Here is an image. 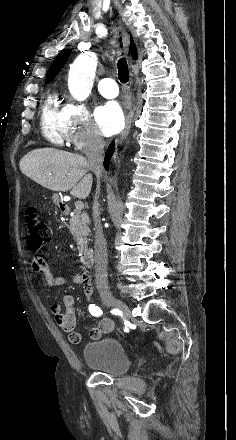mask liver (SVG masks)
<instances>
[{
	"label": "liver",
	"instance_id": "obj_1",
	"mask_svg": "<svg viewBox=\"0 0 236 440\" xmlns=\"http://www.w3.org/2000/svg\"><path fill=\"white\" fill-rule=\"evenodd\" d=\"M21 172L52 191L85 199L92 187L88 160L82 155L53 148L34 149L20 160Z\"/></svg>",
	"mask_w": 236,
	"mask_h": 440
}]
</instances>
